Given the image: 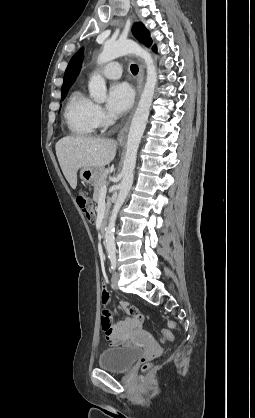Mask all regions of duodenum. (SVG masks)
<instances>
[{
  "label": "duodenum",
  "mask_w": 255,
  "mask_h": 418,
  "mask_svg": "<svg viewBox=\"0 0 255 418\" xmlns=\"http://www.w3.org/2000/svg\"><path fill=\"white\" fill-rule=\"evenodd\" d=\"M107 224H108V218H107V215H104L99 226V233L101 236L105 235Z\"/></svg>",
  "instance_id": "obj_1"
}]
</instances>
